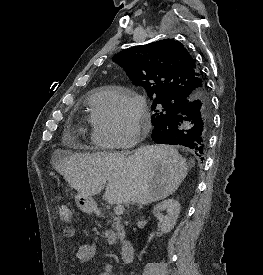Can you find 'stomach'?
<instances>
[{"instance_id": "obj_1", "label": "stomach", "mask_w": 263, "mask_h": 275, "mask_svg": "<svg viewBox=\"0 0 263 275\" xmlns=\"http://www.w3.org/2000/svg\"><path fill=\"white\" fill-rule=\"evenodd\" d=\"M75 202L77 207L83 212H86L89 214L98 213L95 201L89 196H85L81 193H78L75 196Z\"/></svg>"}]
</instances>
